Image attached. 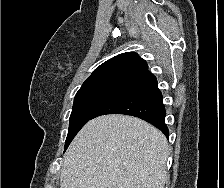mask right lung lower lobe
Segmentation results:
<instances>
[{
  "label": "right lung lower lobe",
  "mask_w": 224,
  "mask_h": 188,
  "mask_svg": "<svg viewBox=\"0 0 224 188\" xmlns=\"http://www.w3.org/2000/svg\"><path fill=\"white\" fill-rule=\"evenodd\" d=\"M105 114H124L141 118L169 136L165 125V108L156 77L146 70L131 80L105 104L91 119Z\"/></svg>",
  "instance_id": "right-lung-lower-lobe-1"
}]
</instances>
